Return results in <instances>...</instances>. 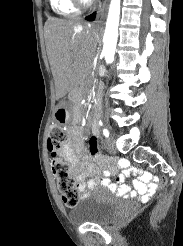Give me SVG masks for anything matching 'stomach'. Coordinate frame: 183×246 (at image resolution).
<instances>
[{"mask_svg":"<svg viewBox=\"0 0 183 246\" xmlns=\"http://www.w3.org/2000/svg\"><path fill=\"white\" fill-rule=\"evenodd\" d=\"M69 110L65 102H61L55 112H54V119L57 123L63 124L67 123L69 120Z\"/></svg>","mask_w":183,"mask_h":246,"instance_id":"stomach-1","label":"stomach"}]
</instances>
